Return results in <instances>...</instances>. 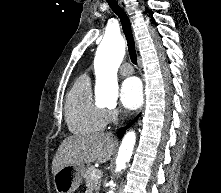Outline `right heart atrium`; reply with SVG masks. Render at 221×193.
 Here are the masks:
<instances>
[{"mask_svg":"<svg viewBox=\"0 0 221 193\" xmlns=\"http://www.w3.org/2000/svg\"><path fill=\"white\" fill-rule=\"evenodd\" d=\"M120 116V111L117 109L106 110V121L107 123H113L118 120Z\"/></svg>","mask_w":221,"mask_h":193,"instance_id":"right-heart-atrium-1","label":"right heart atrium"}]
</instances>
